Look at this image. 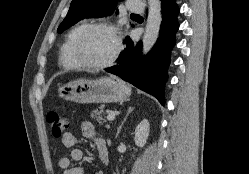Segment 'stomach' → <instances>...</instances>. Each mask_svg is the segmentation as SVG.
Wrapping results in <instances>:
<instances>
[{
    "label": "stomach",
    "mask_w": 249,
    "mask_h": 174,
    "mask_svg": "<svg viewBox=\"0 0 249 174\" xmlns=\"http://www.w3.org/2000/svg\"><path fill=\"white\" fill-rule=\"evenodd\" d=\"M59 96L77 103L124 102L131 95V88L114 77L96 80L79 79L58 89Z\"/></svg>",
    "instance_id": "0dacf381"
}]
</instances>
